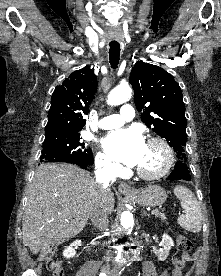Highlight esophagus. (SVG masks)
I'll list each match as a JSON object with an SVG mask.
<instances>
[{"instance_id":"34e87169","label":"esophagus","mask_w":221,"mask_h":276,"mask_svg":"<svg viewBox=\"0 0 221 276\" xmlns=\"http://www.w3.org/2000/svg\"><path fill=\"white\" fill-rule=\"evenodd\" d=\"M118 189L121 193H126V194L134 193V189L125 182H121L118 186Z\"/></svg>"}]
</instances>
